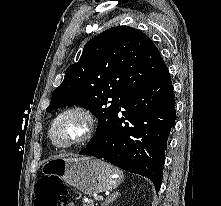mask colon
Segmentation results:
<instances>
[{
    "instance_id": "1",
    "label": "colon",
    "mask_w": 221,
    "mask_h": 206,
    "mask_svg": "<svg viewBox=\"0 0 221 206\" xmlns=\"http://www.w3.org/2000/svg\"><path fill=\"white\" fill-rule=\"evenodd\" d=\"M67 190L52 178H41L37 182L35 206H67Z\"/></svg>"
}]
</instances>
